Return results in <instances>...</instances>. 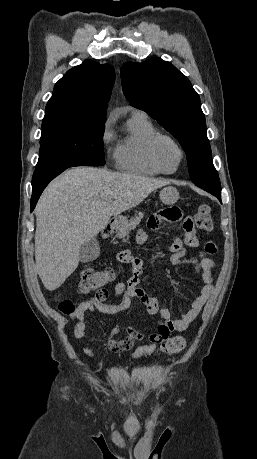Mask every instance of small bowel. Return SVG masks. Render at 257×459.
Listing matches in <instances>:
<instances>
[{
    "label": "small bowel",
    "mask_w": 257,
    "mask_h": 459,
    "mask_svg": "<svg viewBox=\"0 0 257 459\" xmlns=\"http://www.w3.org/2000/svg\"><path fill=\"white\" fill-rule=\"evenodd\" d=\"M176 222H183L181 232L174 236V242L170 248H167L166 255L170 257V262L175 266H189L195 275H200L204 284L196 291L194 299L183 306V314L179 318H173L169 308L162 306L158 297L152 296L139 286L142 266L146 260L151 259L150 253L141 255L135 249L124 247L118 249V264H133V274L126 283H117L115 293L120 297L117 304L106 303L105 300H99L96 295L89 297L76 306L70 314V320H76L77 323L73 330V336L76 340H81L88 329L86 323L87 315L97 311L105 315H115L127 310L133 299L137 298L145 307L150 315H159L161 320L157 323V330L145 337L133 326L126 328V336L118 339L121 333V327L117 325L107 340V348L111 352H122L130 350L138 341L147 340L146 343L137 346L132 352V359H141L153 354L158 344L165 342L170 333L173 331H184L192 324L201 313L204 305L213 292V270L215 262L211 256L215 253V247L211 243L205 244L199 257H187L185 247H197L198 238L195 234V222L188 211L187 205H156L154 213H148L145 219L146 226H175ZM146 229L138 227L136 234L133 236L134 244H149L150 236L145 235ZM82 351L91 358H97V353L90 347L84 346Z\"/></svg>",
    "instance_id": "c3829d8e"
}]
</instances>
